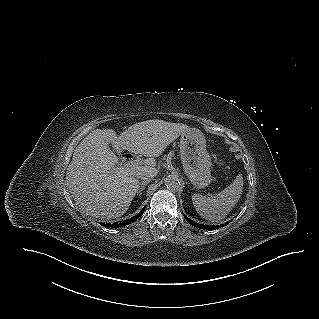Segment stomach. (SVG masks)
I'll list each match as a JSON object with an SVG mask.
<instances>
[{"instance_id":"obj_1","label":"stomach","mask_w":319,"mask_h":319,"mask_svg":"<svg viewBox=\"0 0 319 319\" xmlns=\"http://www.w3.org/2000/svg\"><path fill=\"white\" fill-rule=\"evenodd\" d=\"M179 147L184 172L192 185L197 189L207 187L213 178L204 134L198 129H190L181 134Z\"/></svg>"}]
</instances>
